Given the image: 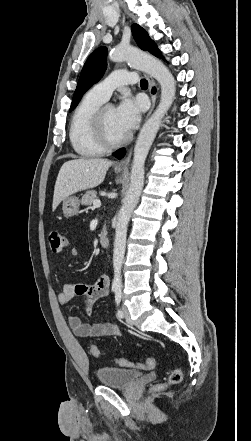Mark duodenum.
<instances>
[{
	"label": "duodenum",
	"instance_id": "duodenum-1",
	"mask_svg": "<svg viewBox=\"0 0 251 441\" xmlns=\"http://www.w3.org/2000/svg\"><path fill=\"white\" fill-rule=\"evenodd\" d=\"M99 243H100L101 247L107 248L110 244V241L106 235H101L99 238Z\"/></svg>",
	"mask_w": 251,
	"mask_h": 441
}]
</instances>
